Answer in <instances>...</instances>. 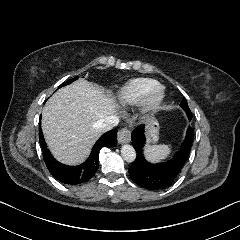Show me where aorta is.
I'll return each mask as SVG.
<instances>
[{
    "label": "aorta",
    "instance_id": "1",
    "mask_svg": "<svg viewBox=\"0 0 240 240\" xmlns=\"http://www.w3.org/2000/svg\"><path fill=\"white\" fill-rule=\"evenodd\" d=\"M120 151L125 161L132 162L135 159L136 152L131 144H123Z\"/></svg>",
    "mask_w": 240,
    "mask_h": 240
}]
</instances>
